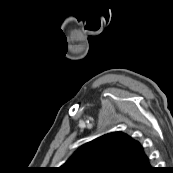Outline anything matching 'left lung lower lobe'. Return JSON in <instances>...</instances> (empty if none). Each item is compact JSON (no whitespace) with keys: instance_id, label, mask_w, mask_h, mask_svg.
Segmentation results:
<instances>
[{"instance_id":"0a47b994","label":"left lung lower lobe","mask_w":173,"mask_h":173,"mask_svg":"<svg viewBox=\"0 0 173 173\" xmlns=\"http://www.w3.org/2000/svg\"><path fill=\"white\" fill-rule=\"evenodd\" d=\"M156 168L152 167L150 163L146 168H144L140 173H156Z\"/></svg>"}]
</instances>
